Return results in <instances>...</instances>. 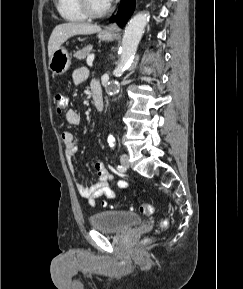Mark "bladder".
<instances>
[{"label": "bladder", "mask_w": 243, "mask_h": 289, "mask_svg": "<svg viewBox=\"0 0 243 289\" xmlns=\"http://www.w3.org/2000/svg\"><path fill=\"white\" fill-rule=\"evenodd\" d=\"M92 228L100 231L123 233L141 223L139 215L128 211H102L90 217Z\"/></svg>", "instance_id": "obj_1"}]
</instances>
